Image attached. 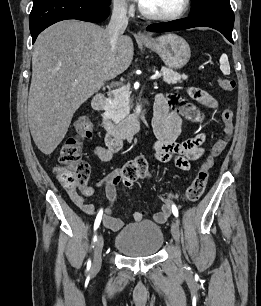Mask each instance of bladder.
Returning a JSON list of instances; mask_svg holds the SVG:
<instances>
[{
  "mask_svg": "<svg viewBox=\"0 0 261 306\" xmlns=\"http://www.w3.org/2000/svg\"><path fill=\"white\" fill-rule=\"evenodd\" d=\"M164 234L152 221H141L123 227L114 237V248L128 257H149L159 252Z\"/></svg>",
  "mask_w": 261,
  "mask_h": 306,
  "instance_id": "31cf9c89",
  "label": "bladder"
}]
</instances>
